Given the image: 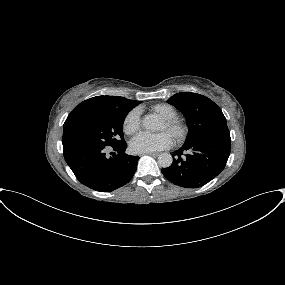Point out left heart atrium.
I'll return each mask as SVG.
<instances>
[{"label": "left heart atrium", "mask_w": 285, "mask_h": 285, "mask_svg": "<svg viewBox=\"0 0 285 285\" xmlns=\"http://www.w3.org/2000/svg\"><path fill=\"white\" fill-rule=\"evenodd\" d=\"M172 145L171 136L167 132L157 134L141 133L130 142V150L137 154L162 150Z\"/></svg>", "instance_id": "1"}]
</instances>
